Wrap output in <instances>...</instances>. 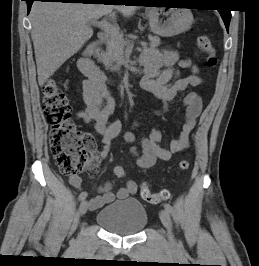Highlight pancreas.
<instances>
[{
    "instance_id": "1",
    "label": "pancreas",
    "mask_w": 259,
    "mask_h": 266,
    "mask_svg": "<svg viewBox=\"0 0 259 266\" xmlns=\"http://www.w3.org/2000/svg\"><path fill=\"white\" fill-rule=\"evenodd\" d=\"M150 47L156 48L160 45V38L157 36H149ZM128 39L121 37L110 36L106 43V51L101 53L99 56V61L103 63L107 70L116 71L118 66L114 65L115 62L124 63L123 53L124 47L129 43Z\"/></svg>"
}]
</instances>
